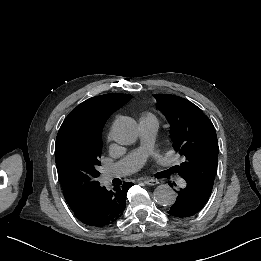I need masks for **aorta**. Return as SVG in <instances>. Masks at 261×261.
Returning a JSON list of instances; mask_svg holds the SVG:
<instances>
[{
	"instance_id": "762f6f07",
	"label": "aorta",
	"mask_w": 261,
	"mask_h": 261,
	"mask_svg": "<svg viewBox=\"0 0 261 261\" xmlns=\"http://www.w3.org/2000/svg\"><path fill=\"white\" fill-rule=\"evenodd\" d=\"M114 140L121 145H130L137 140L138 130L136 122L130 117L118 118L112 126ZM157 204L171 206L176 201L175 191L167 184L158 185L153 192Z\"/></svg>"
}]
</instances>
